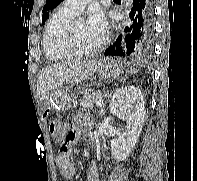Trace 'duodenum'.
<instances>
[{
    "mask_svg": "<svg viewBox=\"0 0 197 181\" xmlns=\"http://www.w3.org/2000/svg\"><path fill=\"white\" fill-rule=\"evenodd\" d=\"M88 140H89L90 143H93L94 142L93 137L92 138H89Z\"/></svg>",
    "mask_w": 197,
    "mask_h": 181,
    "instance_id": "1",
    "label": "duodenum"
}]
</instances>
